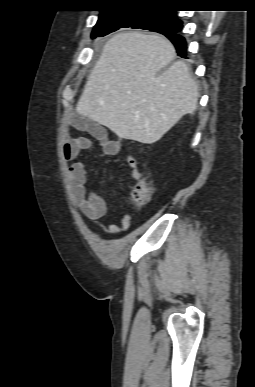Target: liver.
Listing matches in <instances>:
<instances>
[{
    "instance_id": "6515ba94",
    "label": "liver",
    "mask_w": 255,
    "mask_h": 387,
    "mask_svg": "<svg viewBox=\"0 0 255 387\" xmlns=\"http://www.w3.org/2000/svg\"><path fill=\"white\" fill-rule=\"evenodd\" d=\"M175 54L162 35H114L88 77L77 113L120 138L157 142L198 104V86L186 63L169 66Z\"/></svg>"
}]
</instances>
